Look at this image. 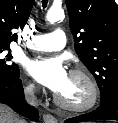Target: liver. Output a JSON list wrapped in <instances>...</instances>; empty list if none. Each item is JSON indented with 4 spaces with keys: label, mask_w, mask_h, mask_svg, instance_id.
I'll list each match as a JSON object with an SVG mask.
<instances>
[{
    "label": "liver",
    "mask_w": 118,
    "mask_h": 123,
    "mask_svg": "<svg viewBox=\"0 0 118 123\" xmlns=\"http://www.w3.org/2000/svg\"><path fill=\"white\" fill-rule=\"evenodd\" d=\"M23 121L8 106L0 103V123H22Z\"/></svg>",
    "instance_id": "6515ba94"
}]
</instances>
